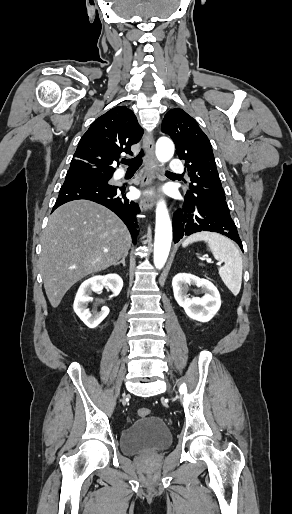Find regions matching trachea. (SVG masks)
<instances>
[{
	"instance_id": "trachea-1",
	"label": "trachea",
	"mask_w": 292,
	"mask_h": 514,
	"mask_svg": "<svg viewBox=\"0 0 292 514\" xmlns=\"http://www.w3.org/2000/svg\"><path fill=\"white\" fill-rule=\"evenodd\" d=\"M143 156H145V151L141 149V152L134 159H122L121 163L128 165L127 170H138L142 164Z\"/></svg>"
}]
</instances>
